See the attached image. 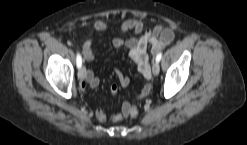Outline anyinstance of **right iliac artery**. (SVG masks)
Instances as JSON below:
<instances>
[{
  "label": "right iliac artery",
  "mask_w": 247,
  "mask_h": 145,
  "mask_svg": "<svg viewBox=\"0 0 247 145\" xmlns=\"http://www.w3.org/2000/svg\"><path fill=\"white\" fill-rule=\"evenodd\" d=\"M76 63H77L78 68H80L82 66V58H81V55L79 53H77Z\"/></svg>",
  "instance_id": "1"
}]
</instances>
